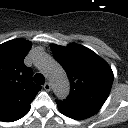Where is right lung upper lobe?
Returning a JSON list of instances; mask_svg holds the SVG:
<instances>
[{
    "label": "right lung upper lobe",
    "mask_w": 128,
    "mask_h": 128,
    "mask_svg": "<svg viewBox=\"0 0 128 128\" xmlns=\"http://www.w3.org/2000/svg\"><path fill=\"white\" fill-rule=\"evenodd\" d=\"M31 43L14 39L0 45V120L9 121L30 107L41 86L32 81L24 65Z\"/></svg>",
    "instance_id": "right-lung-upper-lobe-1"
}]
</instances>
